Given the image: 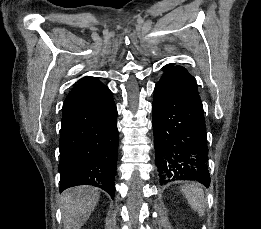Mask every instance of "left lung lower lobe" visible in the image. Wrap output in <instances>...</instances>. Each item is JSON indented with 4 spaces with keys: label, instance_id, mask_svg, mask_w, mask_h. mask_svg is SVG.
<instances>
[{
    "label": "left lung lower lobe",
    "instance_id": "left-lung-lower-lobe-1",
    "mask_svg": "<svg viewBox=\"0 0 261 229\" xmlns=\"http://www.w3.org/2000/svg\"><path fill=\"white\" fill-rule=\"evenodd\" d=\"M153 100V132L158 176L210 184L202 103L195 78L167 64Z\"/></svg>",
    "mask_w": 261,
    "mask_h": 229
}]
</instances>
